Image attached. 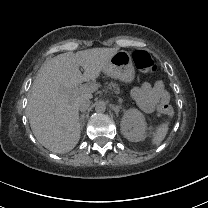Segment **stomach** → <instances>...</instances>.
Returning <instances> with one entry per match:
<instances>
[{"label": "stomach", "mask_w": 208, "mask_h": 208, "mask_svg": "<svg viewBox=\"0 0 208 208\" xmlns=\"http://www.w3.org/2000/svg\"><path fill=\"white\" fill-rule=\"evenodd\" d=\"M104 72L126 85H131L136 78V71L131 55L125 51H117L104 68Z\"/></svg>", "instance_id": "0dacf381"}]
</instances>
